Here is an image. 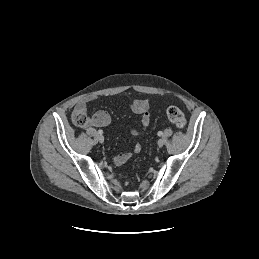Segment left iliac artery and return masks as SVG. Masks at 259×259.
Returning a JSON list of instances; mask_svg holds the SVG:
<instances>
[{
    "label": "left iliac artery",
    "instance_id": "1",
    "mask_svg": "<svg viewBox=\"0 0 259 259\" xmlns=\"http://www.w3.org/2000/svg\"><path fill=\"white\" fill-rule=\"evenodd\" d=\"M162 135H163L162 131H159L158 136H162Z\"/></svg>",
    "mask_w": 259,
    "mask_h": 259
}]
</instances>
